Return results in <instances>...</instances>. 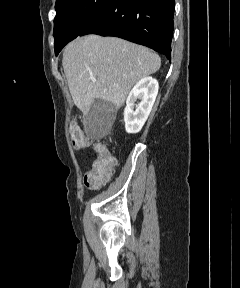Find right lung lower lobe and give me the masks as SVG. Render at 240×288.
I'll use <instances>...</instances> for the list:
<instances>
[{
    "label": "right lung lower lobe",
    "instance_id": "1",
    "mask_svg": "<svg viewBox=\"0 0 240 288\" xmlns=\"http://www.w3.org/2000/svg\"><path fill=\"white\" fill-rule=\"evenodd\" d=\"M174 0H113L80 33L115 36L171 57Z\"/></svg>",
    "mask_w": 240,
    "mask_h": 288
}]
</instances>
